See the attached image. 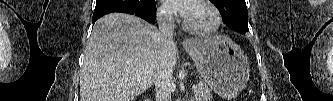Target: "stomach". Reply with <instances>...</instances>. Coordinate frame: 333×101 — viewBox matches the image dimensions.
<instances>
[{"instance_id": "0dacf381", "label": "stomach", "mask_w": 333, "mask_h": 101, "mask_svg": "<svg viewBox=\"0 0 333 101\" xmlns=\"http://www.w3.org/2000/svg\"><path fill=\"white\" fill-rule=\"evenodd\" d=\"M185 50L205 83L220 97L235 99L246 87L250 68L240 47L224 36L192 41Z\"/></svg>"}]
</instances>
